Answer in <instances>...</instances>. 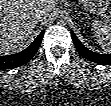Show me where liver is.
<instances>
[{
    "mask_svg": "<svg viewBox=\"0 0 111 106\" xmlns=\"http://www.w3.org/2000/svg\"><path fill=\"white\" fill-rule=\"evenodd\" d=\"M55 5V0H1V54L13 53L22 49L38 22L37 10L46 11L48 14Z\"/></svg>",
    "mask_w": 111,
    "mask_h": 106,
    "instance_id": "1",
    "label": "liver"
}]
</instances>
